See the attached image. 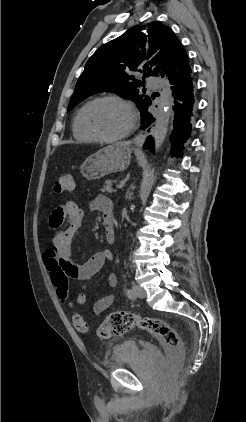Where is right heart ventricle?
Returning <instances> with one entry per match:
<instances>
[{"instance_id":"e07e8e85","label":"right heart ventricle","mask_w":246,"mask_h":422,"mask_svg":"<svg viewBox=\"0 0 246 422\" xmlns=\"http://www.w3.org/2000/svg\"><path fill=\"white\" fill-rule=\"evenodd\" d=\"M86 105H83L75 114L73 120V136L80 142H93L94 139L85 131L82 123V115Z\"/></svg>"}]
</instances>
